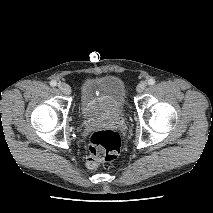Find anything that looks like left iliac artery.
I'll use <instances>...</instances> for the list:
<instances>
[{
    "label": "left iliac artery",
    "mask_w": 213,
    "mask_h": 213,
    "mask_svg": "<svg viewBox=\"0 0 213 213\" xmlns=\"http://www.w3.org/2000/svg\"><path fill=\"white\" fill-rule=\"evenodd\" d=\"M148 84H149V85H154V84H155V79L150 78V79L148 80Z\"/></svg>",
    "instance_id": "1"
}]
</instances>
